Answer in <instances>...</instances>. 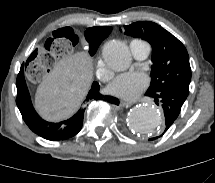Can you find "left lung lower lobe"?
I'll use <instances>...</instances> for the list:
<instances>
[{
  "instance_id": "obj_1",
  "label": "left lung lower lobe",
  "mask_w": 215,
  "mask_h": 183,
  "mask_svg": "<svg viewBox=\"0 0 215 183\" xmlns=\"http://www.w3.org/2000/svg\"><path fill=\"white\" fill-rule=\"evenodd\" d=\"M146 95L154 98L155 103L162 106L166 122L165 131H167L178 117L187 97L174 89H163L156 93L146 92Z\"/></svg>"
}]
</instances>
